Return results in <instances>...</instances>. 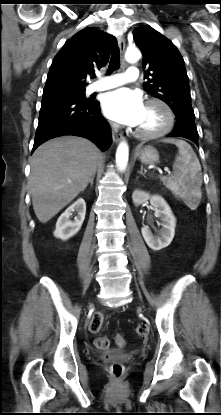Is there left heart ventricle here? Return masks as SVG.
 I'll use <instances>...</instances> for the list:
<instances>
[{
  "label": "left heart ventricle",
  "mask_w": 221,
  "mask_h": 415,
  "mask_svg": "<svg viewBox=\"0 0 221 415\" xmlns=\"http://www.w3.org/2000/svg\"><path fill=\"white\" fill-rule=\"evenodd\" d=\"M166 122L163 108L157 104L145 105L144 113L137 129L143 132H154L161 129Z\"/></svg>",
  "instance_id": "b2bd125f"
}]
</instances>
